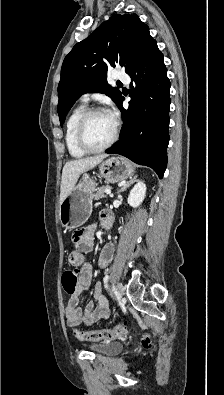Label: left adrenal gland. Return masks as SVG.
Here are the masks:
<instances>
[{
  "mask_svg": "<svg viewBox=\"0 0 224 395\" xmlns=\"http://www.w3.org/2000/svg\"><path fill=\"white\" fill-rule=\"evenodd\" d=\"M137 175H135L133 178H131L129 181H127L118 191V193H121L123 191H125L131 184H133L134 182L137 181Z\"/></svg>",
  "mask_w": 224,
  "mask_h": 395,
  "instance_id": "1",
  "label": "left adrenal gland"
}]
</instances>
